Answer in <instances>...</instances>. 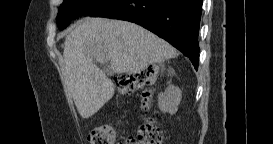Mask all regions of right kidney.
Wrapping results in <instances>:
<instances>
[{
    "label": "right kidney",
    "mask_w": 273,
    "mask_h": 144,
    "mask_svg": "<svg viewBox=\"0 0 273 144\" xmlns=\"http://www.w3.org/2000/svg\"><path fill=\"white\" fill-rule=\"evenodd\" d=\"M181 101V91L178 87L170 85L164 93L158 96V106L162 112L175 114Z\"/></svg>",
    "instance_id": "obj_1"
}]
</instances>
